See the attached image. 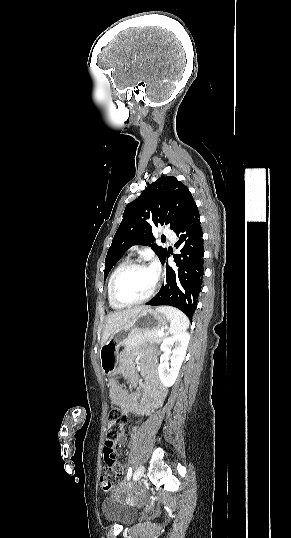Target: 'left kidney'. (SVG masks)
<instances>
[{"label": "left kidney", "instance_id": "obj_1", "mask_svg": "<svg viewBox=\"0 0 291 538\" xmlns=\"http://www.w3.org/2000/svg\"><path fill=\"white\" fill-rule=\"evenodd\" d=\"M190 335L188 332H181L174 336L165 338L161 344V351L163 354L160 357V364L158 366V373L161 382L166 387H171L179 374L182 362L186 355V350L189 344ZM174 349L172 350V347ZM170 356V368L169 363L166 361L167 356Z\"/></svg>", "mask_w": 291, "mask_h": 538}]
</instances>
